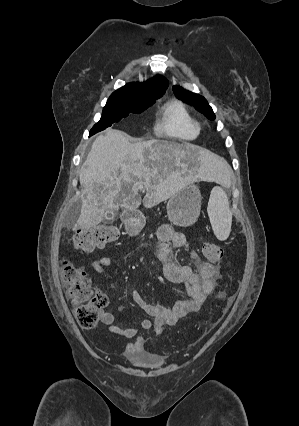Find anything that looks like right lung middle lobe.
Masks as SVG:
<instances>
[{
  "instance_id": "dd1d6c3e",
  "label": "right lung middle lobe",
  "mask_w": 299,
  "mask_h": 426,
  "mask_svg": "<svg viewBox=\"0 0 299 426\" xmlns=\"http://www.w3.org/2000/svg\"><path fill=\"white\" fill-rule=\"evenodd\" d=\"M165 91L148 92L142 94L138 99L125 100L110 96L105 107L103 108L102 117L90 131V136L110 127L114 122L120 121L127 117L130 113H141L151 106L156 99L160 98Z\"/></svg>"
}]
</instances>
